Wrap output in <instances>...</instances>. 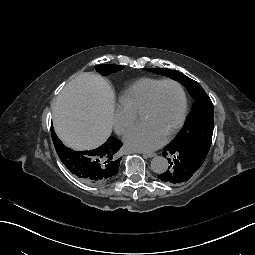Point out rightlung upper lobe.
I'll return each instance as SVG.
<instances>
[{"label": "right lung upper lobe", "mask_w": 255, "mask_h": 255, "mask_svg": "<svg viewBox=\"0 0 255 255\" xmlns=\"http://www.w3.org/2000/svg\"><path fill=\"white\" fill-rule=\"evenodd\" d=\"M53 143L58 156L69 171L85 183L100 184L107 182L115 177L120 166V151L122 142L115 137H109L108 140L100 147L90 151H74L67 148L61 143L56 136L53 128L51 129ZM97 154L100 163L97 165L100 174L97 177L86 178L83 176V159L81 155Z\"/></svg>", "instance_id": "obj_1"}]
</instances>
